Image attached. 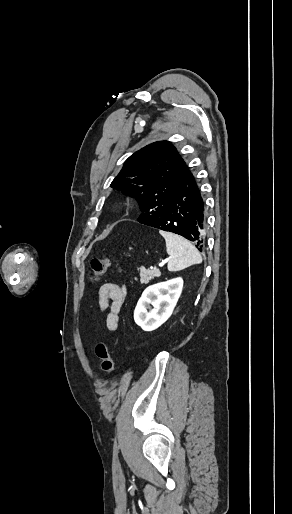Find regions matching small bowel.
I'll list each match as a JSON object with an SVG mask.
<instances>
[{
    "instance_id": "small-bowel-1",
    "label": "small bowel",
    "mask_w": 292,
    "mask_h": 514,
    "mask_svg": "<svg viewBox=\"0 0 292 514\" xmlns=\"http://www.w3.org/2000/svg\"><path fill=\"white\" fill-rule=\"evenodd\" d=\"M125 298L126 289L121 284L104 283L99 289V308L105 314L106 327L111 332L118 327Z\"/></svg>"
}]
</instances>
